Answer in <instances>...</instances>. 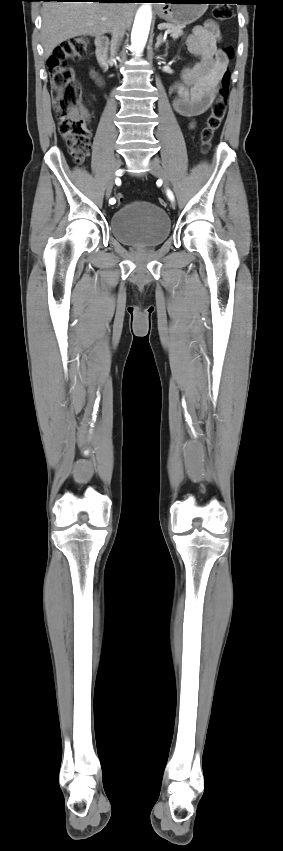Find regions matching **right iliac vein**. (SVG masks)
I'll return each instance as SVG.
<instances>
[{
    "label": "right iliac vein",
    "instance_id": "obj_1",
    "mask_svg": "<svg viewBox=\"0 0 283 851\" xmlns=\"http://www.w3.org/2000/svg\"><path fill=\"white\" fill-rule=\"evenodd\" d=\"M122 161L120 158H117L114 163V168L111 170V178L109 179L106 186V197L109 198L114 186V180L117 178V170L121 167Z\"/></svg>",
    "mask_w": 283,
    "mask_h": 851
}]
</instances>
